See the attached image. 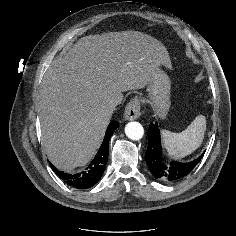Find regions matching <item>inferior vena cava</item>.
<instances>
[{
  "mask_svg": "<svg viewBox=\"0 0 236 236\" xmlns=\"http://www.w3.org/2000/svg\"><path fill=\"white\" fill-rule=\"evenodd\" d=\"M118 104H119V102H118V101H115V102H113V103L111 104V107L114 109Z\"/></svg>",
  "mask_w": 236,
  "mask_h": 236,
  "instance_id": "602c4592",
  "label": "inferior vena cava"
}]
</instances>
